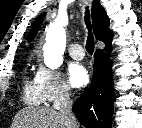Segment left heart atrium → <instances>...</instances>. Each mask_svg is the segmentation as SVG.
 Masks as SVG:
<instances>
[{
  "mask_svg": "<svg viewBox=\"0 0 142 128\" xmlns=\"http://www.w3.org/2000/svg\"><path fill=\"white\" fill-rule=\"evenodd\" d=\"M68 81L74 88H82L89 82L87 70L78 63L70 64L67 71Z\"/></svg>",
  "mask_w": 142,
  "mask_h": 128,
  "instance_id": "1",
  "label": "left heart atrium"
}]
</instances>
